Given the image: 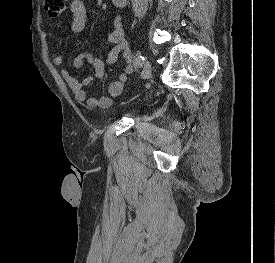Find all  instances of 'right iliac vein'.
Here are the masks:
<instances>
[{"label": "right iliac vein", "instance_id": "right-iliac-vein-1", "mask_svg": "<svg viewBox=\"0 0 275 263\" xmlns=\"http://www.w3.org/2000/svg\"><path fill=\"white\" fill-rule=\"evenodd\" d=\"M150 73H151V64H150V62L147 61L143 67L141 77L143 79H146L149 77Z\"/></svg>", "mask_w": 275, "mask_h": 263}]
</instances>
